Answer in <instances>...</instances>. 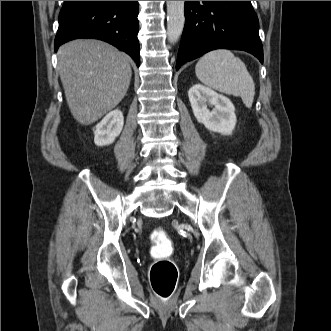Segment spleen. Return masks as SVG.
I'll return each mask as SVG.
<instances>
[{
	"mask_svg": "<svg viewBox=\"0 0 331 331\" xmlns=\"http://www.w3.org/2000/svg\"><path fill=\"white\" fill-rule=\"evenodd\" d=\"M197 78L205 85L240 96L247 108L252 107L255 84L244 62L230 50L218 49L202 56L195 66Z\"/></svg>",
	"mask_w": 331,
	"mask_h": 331,
	"instance_id": "obj_1",
	"label": "spleen"
}]
</instances>
